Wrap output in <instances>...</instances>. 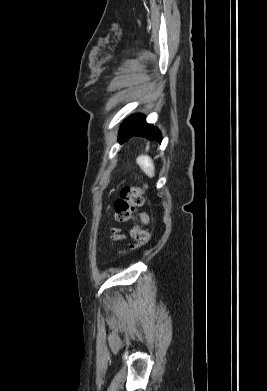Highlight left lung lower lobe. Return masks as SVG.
I'll return each mask as SVG.
<instances>
[{"label":"left lung lower lobe","instance_id":"obj_1","mask_svg":"<svg viewBox=\"0 0 267 391\" xmlns=\"http://www.w3.org/2000/svg\"><path fill=\"white\" fill-rule=\"evenodd\" d=\"M132 136H141L149 140L161 141L160 131L145 121L143 115H133L126 119L119 132V142L124 143Z\"/></svg>","mask_w":267,"mask_h":391}]
</instances>
